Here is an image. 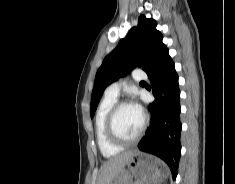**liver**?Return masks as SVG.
<instances>
[{
  "label": "liver",
  "instance_id": "1",
  "mask_svg": "<svg viewBox=\"0 0 235 184\" xmlns=\"http://www.w3.org/2000/svg\"><path fill=\"white\" fill-rule=\"evenodd\" d=\"M132 154L133 152H123L120 156H114V158H109L108 162H104L99 170L97 184H110L111 180L116 178L118 172L129 162Z\"/></svg>",
  "mask_w": 235,
  "mask_h": 184
}]
</instances>
